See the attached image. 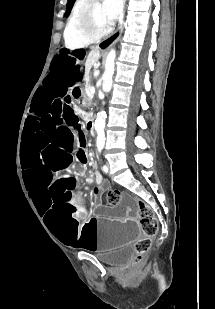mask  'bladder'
I'll use <instances>...</instances> for the list:
<instances>
[{
    "mask_svg": "<svg viewBox=\"0 0 215 309\" xmlns=\"http://www.w3.org/2000/svg\"><path fill=\"white\" fill-rule=\"evenodd\" d=\"M134 254V249L131 246H125L111 253L99 254L97 258L106 265L121 266L129 262Z\"/></svg>",
    "mask_w": 215,
    "mask_h": 309,
    "instance_id": "31cf9c89",
    "label": "bladder"
}]
</instances>
